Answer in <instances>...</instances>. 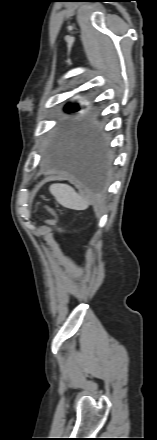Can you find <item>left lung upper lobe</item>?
Instances as JSON below:
<instances>
[{
  "label": "left lung upper lobe",
  "instance_id": "obj_1",
  "mask_svg": "<svg viewBox=\"0 0 157 440\" xmlns=\"http://www.w3.org/2000/svg\"><path fill=\"white\" fill-rule=\"evenodd\" d=\"M65 109L67 111H72V112H76L78 111V107L77 106H73L71 104H67V106L65 107ZM91 132H96V125L92 124V123H87L82 125L78 131H77V136H82Z\"/></svg>",
  "mask_w": 157,
  "mask_h": 440
}]
</instances>
